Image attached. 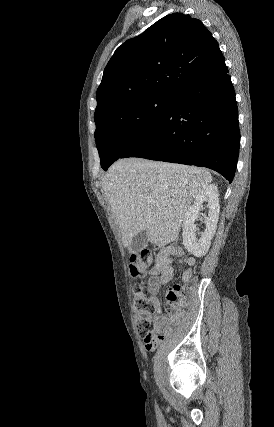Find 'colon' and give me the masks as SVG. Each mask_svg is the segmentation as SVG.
Masks as SVG:
<instances>
[{
	"label": "colon",
	"instance_id": "obj_1",
	"mask_svg": "<svg viewBox=\"0 0 274 427\" xmlns=\"http://www.w3.org/2000/svg\"><path fill=\"white\" fill-rule=\"evenodd\" d=\"M177 245L183 244L182 238L176 239ZM134 262V277L148 278L149 277V260L140 258L138 255L132 257ZM181 286L179 283L169 285L165 291V299L168 303H175L179 297ZM135 325L141 337H151L152 351V333L155 332L156 323L153 317L154 310L148 301L142 298L135 300Z\"/></svg>",
	"mask_w": 274,
	"mask_h": 427
}]
</instances>
